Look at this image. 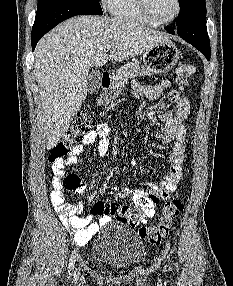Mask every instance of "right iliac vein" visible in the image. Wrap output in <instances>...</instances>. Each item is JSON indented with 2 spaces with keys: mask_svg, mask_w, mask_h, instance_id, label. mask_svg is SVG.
I'll list each match as a JSON object with an SVG mask.
<instances>
[{
  "mask_svg": "<svg viewBox=\"0 0 233 286\" xmlns=\"http://www.w3.org/2000/svg\"><path fill=\"white\" fill-rule=\"evenodd\" d=\"M78 275H79V271L75 272V273H74V278L77 279V278H78Z\"/></svg>",
  "mask_w": 233,
  "mask_h": 286,
  "instance_id": "63e3f726",
  "label": "right iliac vein"
}]
</instances>
